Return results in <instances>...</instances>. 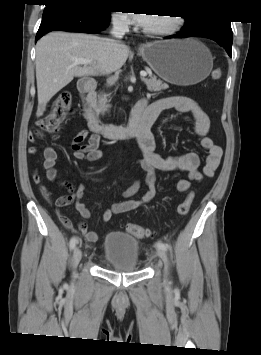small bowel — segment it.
<instances>
[{"label": "small bowel", "mask_w": 261, "mask_h": 355, "mask_svg": "<svg viewBox=\"0 0 261 355\" xmlns=\"http://www.w3.org/2000/svg\"><path fill=\"white\" fill-rule=\"evenodd\" d=\"M143 107V115L150 120L152 124L157 117L165 110L174 109L180 113H189L194 119V131L201 140V145L207 152V157L203 170H199L200 159L197 153L188 152L178 156L162 157L155 151V139L151 132V128L137 134L138 143L142 151L143 157L138 161L139 167L145 172L144 182L148 187L147 192L140 200L131 199L140 189L141 180H136L130 187L123 191L121 200L115 202L102 215L105 222H109L117 214H122L137 209L143 204L149 203L156 196L155 171H180L187 175L186 178L177 182V189L180 192H186L190 189L192 182H199L204 177L213 176L218 168L221 158L222 149L216 145L209 136L210 119L201 107L191 98L184 96H170L148 105L144 99L140 101ZM135 110V108H134ZM33 134L29 135V141H33ZM87 141V143H85ZM101 137L98 134L89 136L86 128L82 129L72 140L71 148L73 157L78 160L97 161L103 156L100 149ZM38 152V148L31 146L28 154L34 155ZM44 162L43 168L46 171V177L50 182L58 183L67 190L66 195L53 199L51 191L42 182V177L38 171L32 173V180L39 186V190L48 202L53 203L57 208H62L71 204L75 205L76 210L84 219L91 217L90 210L86 207L81 199L85 192L83 184L75 187L69 181L62 180L59 172L55 167L57 160V152L52 147H46L43 151ZM58 218L63 226L69 231H79L89 242H96L98 234L89 230L85 223L74 224L67 216L58 213Z\"/></svg>", "instance_id": "c3829d8e"}]
</instances>
